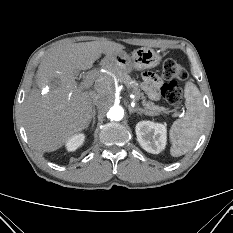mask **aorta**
I'll use <instances>...</instances> for the list:
<instances>
[{
  "instance_id": "obj_1",
  "label": "aorta",
  "mask_w": 233,
  "mask_h": 233,
  "mask_svg": "<svg viewBox=\"0 0 233 233\" xmlns=\"http://www.w3.org/2000/svg\"><path fill=\"white\" fill-rule=\"evenodd\" d=\"M124 111L120 106H112L107 112V117L113 121H119L123 118Z\"/></svg>"
}]
</instances>
